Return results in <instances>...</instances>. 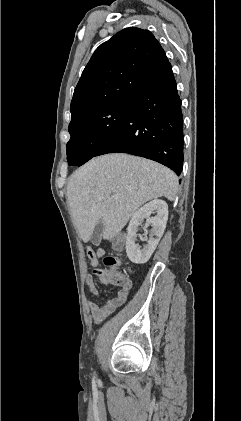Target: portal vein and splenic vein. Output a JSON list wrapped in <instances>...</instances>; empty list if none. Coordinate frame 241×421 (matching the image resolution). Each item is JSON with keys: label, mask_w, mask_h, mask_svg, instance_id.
I'll return each instance as SVG.
<instances>
[{"label": "portal vein and splenic vein", "mask_w": 241, "mask_h": 421, "mask_svg": "<svg viewBox=\"0 0 241 421\" xmlns=\"http://www.w3.org/2000/svg\"><path fill=\"white\" fill-rule=\"evenodd\" d=\"M113 198H114V199H117V198H118V195H116V194H115V195H113Z\"/></svg>", "instance_id": "portal-vein-and-splenic-vein-1"}]
</instances>
